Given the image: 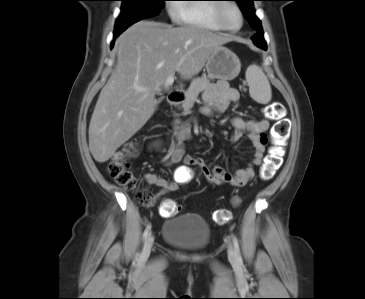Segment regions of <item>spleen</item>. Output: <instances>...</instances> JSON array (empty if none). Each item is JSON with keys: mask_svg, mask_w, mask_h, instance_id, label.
<instances>
[{"mask_svg": "<svg viewBox=\"0 0 365 299\" xmlns=\"http://www.w3.org/2000/svg\"><path fill=\"white\" fill-rule=\"evenodd\" d=\"M246 81L252 99L260 104H267L272 97L271 86L267 76L257 65H251L246 70Z\"/></svg>", "mask_w": 365, "mask_h": 299, "instance_id": "obj_1", "label": "spleen"}]
</instances>
